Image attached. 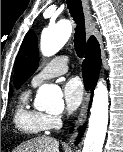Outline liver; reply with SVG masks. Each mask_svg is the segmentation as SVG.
<instances>
[{"label":"liver","mask_w":123,"mask_h":152,"mask_svg":"<svg viewBox=\"0 0 123 152\" xmlns=\"http://www.w3.org/2000/svg\"><path fill=\"white\" fill-rule=\"evenodd\" d=\"M14 152H59V142L51 137H37L22 144Z\"/></svg>","instance_id":"6515ba94"}]
</instances>
